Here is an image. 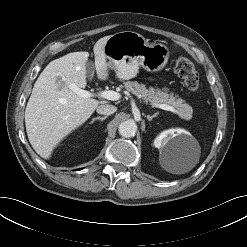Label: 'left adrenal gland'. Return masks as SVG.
Returning a JSON list of instances; mask_svg holds the SVG:
<instances>
[{
  "label": "left adrenal gland",
  "mask_w": 247,
  "mask_h": 247,
  "mask_svg": "<svg viewBox=\"0 0 247 247\" xmlns=\"http://www.w3.org/2000/svg\"><path fill=\"white\" fill-rule=\"evenodd\" d=\"M158 113L153 114L152 116L147 115L148 121H152L153 118L157 117Z\"/></svg>",
  "instance_id": "1"
}]
</instances>
